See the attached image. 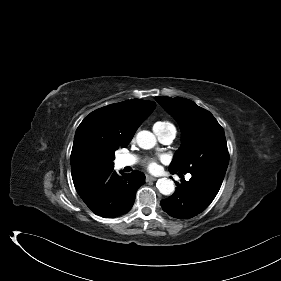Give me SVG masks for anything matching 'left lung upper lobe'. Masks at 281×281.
<instances>
[{"mask_svg": "<svg viewBox=\"0 0 281 281\" xmlns=\"http://www.w3.org/2000/svg\"><path fill=\"white\" fill-rule=\"evenodd\" d=\"M181 126L183 143L169 168L186 173L217 171L225 173L229 153L223 128L207 110L191 100L155 97Z\"/></svg>", "mask_w": 281, "mask_h": 281, "instance_id": "5c2ea615", "label": "left lung upper lobe"}]
</instances>
